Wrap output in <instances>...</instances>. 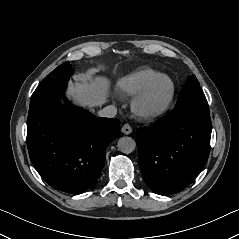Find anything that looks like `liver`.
I'll return each mask as SVG.
<instances>
[{"label": "liver", "mask_w": 239, "mask_h": 239, "mask_svg": "<svg viewBox=\"0 0 239 239\" xmlns=\"http://www.w3.org/2000/svg\"><path fill=\"white\" fill-rule=\"evenodd\" d=\"M108 89L106 78L86 75L70 86L69 95L75 103L92 108L107 101Z\"/></svg>", "instance_id": "1"}]
</instances>
